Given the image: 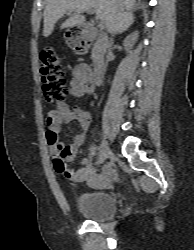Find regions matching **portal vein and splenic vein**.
I'll return each mask as SVG.
<instances>
[{
  "label": "portal vein and splenic vein",
  "instance_id": "1",
  "mask_svg": "<svg viewBox=\"0 0 194 250\" xmlns=\"http://www.w3.org/2000/svg\"><path fill=\"white\" fill-rule=\"evenodd\" d=\"M67 13L70 14L71 12H67ZM86 13H88V14H94L95 11L92 10V9H87ZM96 19L99 22V26L103 29L105 27L104 21L99 16H96Z\"/></svg>",
  "mask_w": 194,
  "mask_h": 250
}]
</instances>
